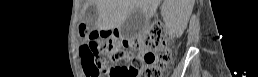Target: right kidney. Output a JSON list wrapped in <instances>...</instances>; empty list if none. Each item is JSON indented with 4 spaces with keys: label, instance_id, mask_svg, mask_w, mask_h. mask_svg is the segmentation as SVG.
<instances>
[{
    "label": "right kidney",
    "instance_id": "right-kidney-1",
    "mask_svg": "<svg viewBox=\"0 0 258 77\" xmlns=\"http://www.w3.org/2000/svg\"><path fill=\"white\" fill-rule=\"evenodd\" d=\"M171 9L172 8H168V10H171ZM168 25H169L171 33L174 36L179 37V36H181V34L184 31L186 23L183 24L182 21L180 20L179 16H176V17L171 16Z\"/></svg>",
    "mask_w": 258,
    "mask_h": 77
}]
</instances>
